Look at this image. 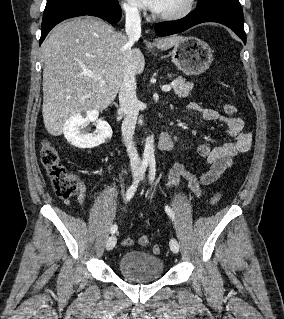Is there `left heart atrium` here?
I'll use <instances>...</instances> for the list:
<instances>
[{
	"label": "left heart atrium",
	"mask_w": 284,
	"mask_h": 319,
	"mask_svg": "<svg viewBox=\"0 0 284 319\" xmlns=\"http://www.w3.org/2000/svg\"><path fill=\"white\" fill-rule=\"evenodd\" d=\"M136 4H138L140 7L144 9L151 10L153 12H156L160 5L162 0H133Z\"/></svg>",
	"instance_id": "1"
}]
</instances>
